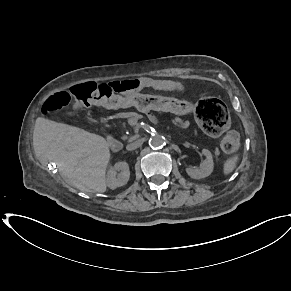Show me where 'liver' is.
Listing matches in <instances>:
<instances>
[{
  "label": "liver",
  "mask_w": 291,
  "mask_h": 291,
  "mask_svg": "<svg viewBox=\"0 0 291 291\" xmlns=\"http://www.w3.org/2000/svg\"><path fill=\"white\" fill-rule=\"evenodd\" d=\"M33 147L37 157L56 163L73 187L94 193L107 190L106 169L111 153L102 136L39 117Z\"/></svg>",
  "instance_id": "1"
}]
</instances>
